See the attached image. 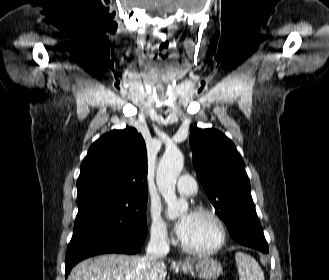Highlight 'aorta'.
<instances>
[{"label": "aorta", "mask_w": 329, "mask_h": 280, "mask_svg": "<svg viewBox=\"0 0 329 280\" xmlns=\"http://www.w3.org/2000/svg\"><path fill=\"white\" fill-rule=\"evenodd\" d=\"M184 165V158L177 147L167 148L159 162L156 174L158 189L167 204V215L174 219L187 212L188 203L176 196V182Z\"/></svg>", "instance_id": "762f6f07"}]
</instances>
